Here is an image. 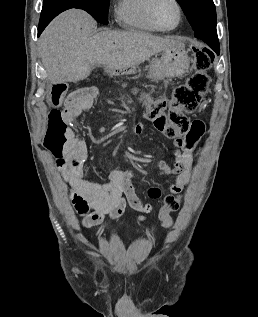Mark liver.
<instances>
[{"instance_id": "6515ba94", "label": "liver", "mask_w": 258, "mask_h": 317, "mask_svg": "<svg viewBox=\"0 0 258 317\" xmlns=\"http://www.w3.org/2000/svg\"><path fill=\"white\" fill-rule=\"evenodd\" d=\"M80 8L56 16L40 36L39 50L51 82H77L89 76L95 64L111 70L136 68L152 54L178 46L177 36H154L143 30H101Z\"/></svg>"}]
</instances>
